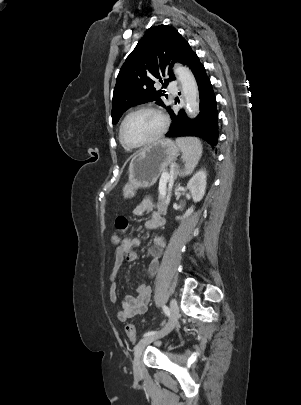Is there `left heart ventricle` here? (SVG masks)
<instances>
[{
	"label": "left heart ventricle",
	"instance_id": "1",
	"mask_svg": "<svg viewBox=\"0 0 301 405\" xmlns=\"http://www.w3.org/2000/svg\"><path fill=\"white\" fill-rule=\"evenodd\" d=\"M161 127V119L144 111L131 116L124 127V136L130 143L138 144L152 138Z\"/></svg>",
	"mask_w": 301,
	"mask_h": 405
}]
</instances>
